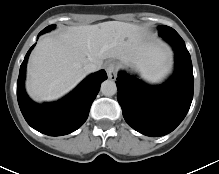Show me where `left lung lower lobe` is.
I'll use <instances>...</instances> for the list:
<instances>
[{
	"label": "left lung lower lobe",
	"mask_w": 219,
	"mask_h": 174,
	"mask_svg": "<svg viewBox=\"0 0 219 174\" xmlns=\"http://www.w3.org/2000/svg\"><path fill=\"white\" fill-rule=\"evenodd\" d=\"M175 51L174 75L160 86H148L119 72L117 98L126 122L152 137L172 132L185 118L192 99L194 78L190 54L180 35L163 37Z\"/></svg>",
	"instance_id": "obj_1"
}]
</instances>
